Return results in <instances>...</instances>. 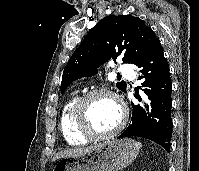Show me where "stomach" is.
<instances>
[{"mask_svg": "<svg viewBox=\"0 0 199 171\" xmlns=\"http://www.w3.org/2000/svg\"><path fill=\"white\" fill-rule=\"evenodd\" d=\"M138 153L134 140L113 138L82 155L62 158L53 171H119L131 164Z\"/></svg>", "mask_w": 199, "mask_h": 171, "instance_id": "1", "label": "stomach"}]
</instances>
